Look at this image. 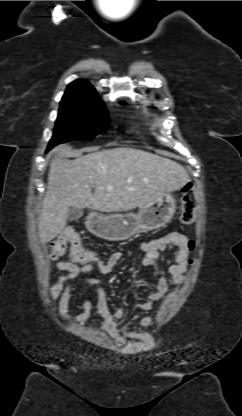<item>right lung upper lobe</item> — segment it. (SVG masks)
I'll list each match as a JSON object with an SVG mask.
<instances>
[{
  "label": "right lung upper lobe",
  "mask_w": 242,
  "mask_h": 416,
  "mask_svg": "<svg viewBox=\"0 0 242 416\" xmlns=\"http://www.w3.org/2000/svg\"><path fill=\"white\" fill-rule=\"evenodd\" d=\"M102 102L94 87L85 80L70 83L61 103H97ZM103 103V102H102Z\"/></svg>",
  "instance_id": "right-lung-upper-lobe-1"
}]
</instances>
